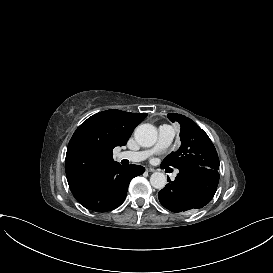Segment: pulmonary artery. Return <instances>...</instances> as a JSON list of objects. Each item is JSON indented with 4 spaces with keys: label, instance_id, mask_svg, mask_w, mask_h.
<instances>
[{
    "label": "pulmonary artery",
    "instance_id": "e3ab8cb5",
    "mask_svg": "<svg viewBox=\"0 0 273 273\" xmlns=\"http://www.w3.org/2000/svg\"><path fill=\"white\" fill-rule=\"evenodd\" d=\"M160 133L163 138L157 140L156 145L160 149L167 148L172 145L173 141L177 138V133L175 130L171 129L168 126H164L161 128ZM149 156V153L145 149H137L132 151L123 150L119 153L118 158L120 161L125 162L127 160H145ZM177 172L174 173L176 175Z\"/></svg>",
    "mask_w": 273,
    "mask_h": 273
}]
</instances>
